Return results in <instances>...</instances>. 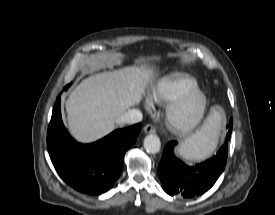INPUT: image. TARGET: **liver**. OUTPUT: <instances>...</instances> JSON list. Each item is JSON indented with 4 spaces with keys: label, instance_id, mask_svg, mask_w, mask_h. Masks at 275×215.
<instances>
[{
    "label": "liver",
    "instance_id": "6515ba94",
    "mask_svg": "<svg viewBox=\"0 0 275 215\" xmlns=\"http://www.w3.org/2000/svg\"><path fill=\"white\" fill-rule=\"evenodd\" d=\"M156 74L140 63L84 79L65 103L70 133L83 143L109 134L126 110L141 102Z\"/></svg>",
    "mask_w": 275,
    "mask_h": 215
}]
</instances>
